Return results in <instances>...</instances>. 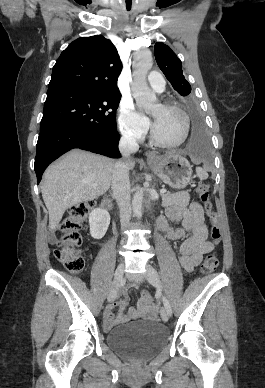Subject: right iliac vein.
Wrapping results in <instances>:
<instances>
[{"label":"right iliac vein","instance_id":"obj_1","mask_svg":"<svg viewBox=\"0 0 265 388\" xmlns=\"http://www.w3.org/2000/svg\"><path fill=\"white\" fill-rule=\"evenodd\" d=\"M123 273H124V263L120 262L115 271V275H114L115 282H114V286L109 292L108 302H112L116 298L117 291L123 277Z\"/></svg>","mask_w":265,"mask_h":388}]
</instances>
